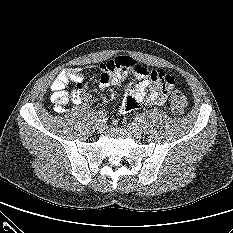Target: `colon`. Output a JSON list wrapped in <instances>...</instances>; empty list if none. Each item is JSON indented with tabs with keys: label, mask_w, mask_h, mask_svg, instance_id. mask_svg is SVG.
I'll return each mask as SVG.
<instances>
[{
	"label": "colon",
	"mask_w": 233,
	"mask_h": 233,
	"mask_svg": "<svg viewBox=\"0 0 233 233\" xmlns=\"http://www.w3.org/2000/svg\"><path fill=\"white\" fill-rule=\"evenodd\" d=\"M139 73L142 75H148L149 72L145 68H139L138 69ZM83 92V89L80 87H76L74 96H80ZM187 107V98L186 96L180 92V91H175L170 99V108L173 113L175 114H182Z\"/></svg>",
	"instance_id": "colon-1"
}]
</instances>
